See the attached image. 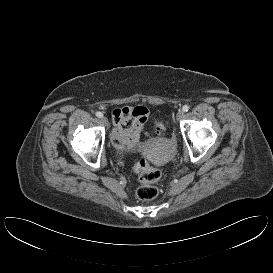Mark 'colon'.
I'll list each match as a JSON object with an SVG mask.
<instances>
[{
	"label": "colon",
	"instance_id": "1",
	"mask_svg": "<svg viewBox=\"0 0 273 273\" xmlns=\"http://www.w3.org/2000/svg\"><path fill=\"white\" fill-rule=\"evenodd\" d=\"M164 129V124L158 122L155 125V132L160 133ZM135 172L138 174L140 186L137 190V197L143 201L154 199L158 195L156 182L161 177V172L152 167L146 160L138 161L134 166Z\"/></svg>",
	"mask_w": 273,
	"mask_h": 273
}]
</instances>
